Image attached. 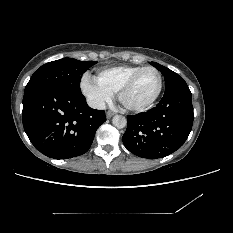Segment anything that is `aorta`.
Segmentation results:
<instances>
[{
	"mask_svg": "<svg viewBox=\"0 0 233 233\" xmlns=\"http://www.w3.org/2000/svg\"><path fill=\"white\" fill-rule=\"evenodd\" d=\"M112 123L117 128H124L127 124V120L124 116L116 115L113 117Z\"/></svg>",
	"mask_w": 233,
	"mask_h": 233,
	"instance_id": "aorta-1",
	"label": "aorta"
}]
</instances>
